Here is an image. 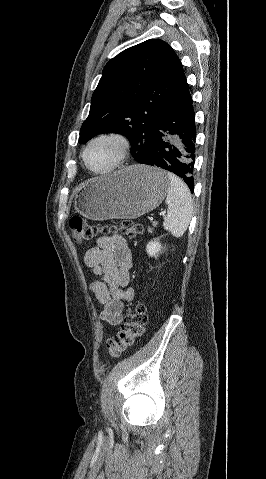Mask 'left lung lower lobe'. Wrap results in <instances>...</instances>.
<instances>
[{"label": "left lung lower lobe", "mask_w": 266, "mask_h": 479, "mask_svg": "<svg viewBox=\"0 0 266 479\" xmlns=\"http://www.w3.org/2000/svg\"><path fill=\"white\" fill-rule=\"evenodd\" d=\"M194 117L185 79L164 109L149 155L142 163L173 172L184 180L192 193L196 137Z\"/></svg>", "instance_id": "left-lung-lower-lobe-1"}]
</instances>
